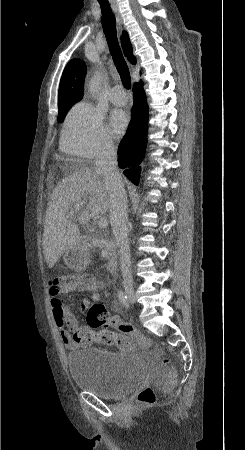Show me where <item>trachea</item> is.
<instances>
[{"mask_svg": "<svg viewBox=\"0 0 245 450\" xmlns=\"http://www.w3.org/2000/svg\"><path fill=\"white\" fill-rule=\"evenodd\" d=\"M102 12V27L104 30L105 37L107 39V43L117 68V71L120 74L123 85L126 89L131 88V77L129 73L128 66L126 61L122 55L121 49L119 47L117 33H116V25H115V16L111 10L110 4L108 1L98 0Z\"/></svg>", "mask_w": 245, "mask_h": 450, "instance_id": "3493384b", "label": "trachea"}]
</instances>
